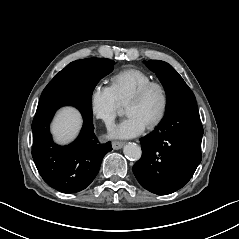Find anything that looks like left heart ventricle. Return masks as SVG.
Masks as SVG:
<instances>
[{"label":"left heart ventricle","instance_id":"obj_1","mask_svg":"<svg viewBox=\"0 0 239 239\" xmlns=\"http://www.w3.org/2000/svg\"><path fill=\"white\" fill-rule=\"evenodd\" d=\"M162 103L161 91L153 88L142 100L128 104L126 113L137 115L148 126L159 115Z\"/></svg>","mask_w":239,"mask_h":239}]
</instances>
